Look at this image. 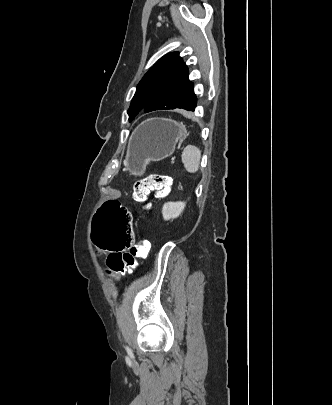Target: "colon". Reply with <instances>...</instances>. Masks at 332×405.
Wrapping results in <instances>:
<instances>
[{"label":"colon","instance_id":"obj_1","mask_svg":"<svg viewBox=\"0 0 332 405\" xmlns=\"http://www.w3.org/2000/svg\"><path fill=\"white\" fill-rule=\"evenodd\" d=\"M171 177L164 174H151L137 181L133 187V198L137 201L145 200L153 192L156 197L167 196L172 190ZM101 211H94L92 227L95 234L93 257H111L109 272L114 276H121L135 268L137 260L146 257L150 249V242L141 239L134 245L137 234L136 227H132L131 213L124 202H101ZM149 209V205L146 206ZM117 254V255H116Z\"/></svg>","mask_w":332,"mask_h":405}]
</instances>
